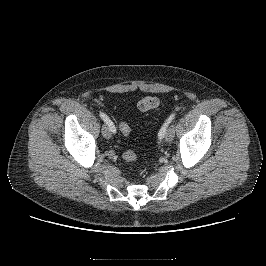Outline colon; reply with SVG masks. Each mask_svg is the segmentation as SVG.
<instances>
[{"instance_id": "5ec220e1", "label": "colon", "mask_w": 266, "mask_h": 266, "mask_svg": "<svg viewBox=\"0 0 266 266\" xmlns=\"http://www.w3.org/2000/svg\"><path fill=\"white\" fill-rule=\"evenodd\" d=\"M137 106L140 111H150L159 106V99L155 96H146L138 102ZM119 129L125 136L131 134V128L126 122H121ZM123 159L127 162H133L137 159V155L133 151H126L123 153Z\"/></svg>"}]
</instances>
